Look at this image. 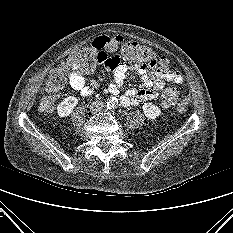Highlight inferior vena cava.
I'll list each match as a JSON object with an SVG mask.
<instances>
[{
  "mask_svg": "<svg viewBox=\"0 0 233 233\" xmlns=\"http://www.w3.org/2000/svg\"><path fill=\"white\" fill-rule=\"evenodd\" d=\"M104 103L101 101H94L90 106L91 111L95 114L102 110Z\"/></svg>",
  "mask_w": 233,
  "mask_h": 233,
  "instance_id": "1",
  "label": "inferior vena cava"
}]
</instances>
